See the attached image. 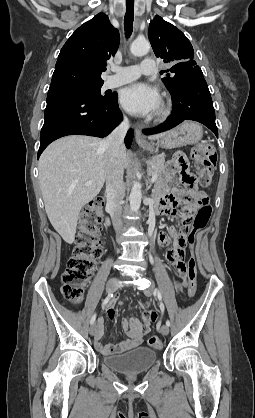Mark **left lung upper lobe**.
<instances>
[{"label":"left lung upper lobe","mask_w":255,"mask_h":418,"mask_svg":"<svg viewBox=\"0 0 255 418\" xmlns=\"http://www.w3.org/2000/svg\"><path fill=\"white\" fill-rule=\"evenodd\" d=\"M148 37L156 57L171 66L168 70L160 71L166 76L162 81L171 94L185 81L203 75L194 61L190 41L175 26L155 16L150 22Z\"/></svg>","instance_id":"obj_1"}]
</instances>
